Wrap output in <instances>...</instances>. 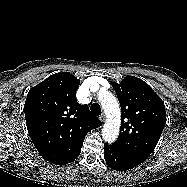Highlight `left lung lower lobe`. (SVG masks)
I'll list each match as a JSON object with an SVG mask.
<instances>
[{
	"instance_id": "0a47b994",
	"label": "left lung lower lobe",
	"mask_w": 187,
	"mask_h": 187,
	"mask_svg": "<svg viewBox=\"0 0 187 187\" xmlns=\"http://www.w3.org/2000/svg\"><path fill=\"white\" fill-rule=\"evenodd\" d=\"M104 158L108 166L116 171H127L141 163L124 155L112 145L108 144H104Z\"/></svg>"
}]
</instances>
